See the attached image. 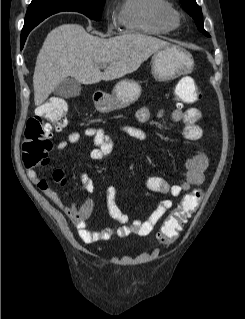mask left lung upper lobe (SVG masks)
<instances>
[{
    "mask_svg": "<svg viewBox=\"0 0 245 319\" xmlns=\"http://www.w3.org/2000/svg\"><path fill=\"white\" fill-rule=\"evenodd\" d=\"M183 7L189 13L190 16L195 20L197 28L204 35L210 37L208 32H206L203 28V20H202V11L201 8L196 4L195 0H180Z\"/></svg>",
    "mask_w": 245,
    "mask_h": 319,
    "instance_id": "obj_1",
    "label": "left lung upper lobe"
}]
</instances>
